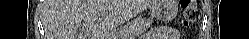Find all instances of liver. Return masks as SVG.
Listing matches in <instances>:
<instances>
[{
	"label": "liver",
	"instance_id": "obj_1",
	"mask_svg": "<svg viewBox=\"0 0 249 39\" xmlns=\"http://www.w3.org/2000/svg\"><path fill=\"white\" fill-rule=\"evenodd\" d=\"M156 1L47 0L44 26L50 39H110L118 26Z\"/></svg>",
	"mask_w": 249,
	"mask_h": 39
}]
</instances>
